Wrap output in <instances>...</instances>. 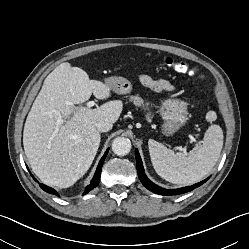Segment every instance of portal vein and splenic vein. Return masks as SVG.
<instances>
[{
    "instance_id": "18ae733b",
    "label": "portal vein and splenic vein",
    "mask_w": 249,
    "mask_h": 249,
    "mask_svg": "<svg viewBox=\"0 0 249 249\" xmlns=\"http://www.w3.org/2000/svg\"><path fill=\"white\" fill-rule=\"evenodd\" d=\"M86 105H87V108H90V107L95 105V102L94 101H89Z\"/></svg>"
}]
</instances>
